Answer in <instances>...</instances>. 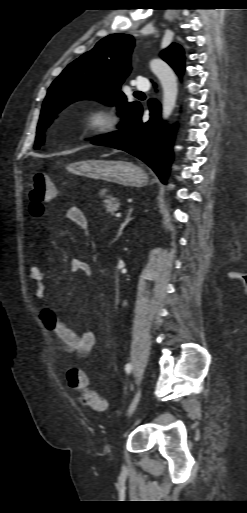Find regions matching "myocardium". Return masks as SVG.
I'll list each match as a JSON object with an SVG mask.
<instances>
[{
	"mask_svg": "<svg viewBox=\"0 0 247 513\" xmlns=\"http://www.w3.org/2000/svg\"><path fill=\"white\" fill-rule=\"evenodd\" d=\"M78 123L84 131L103 134L115 128L116 119L109 110L92 107L81 112Z\"/></svg>",
	"mask_w": 247,
	"mask_h": 513,
	"instance_id": "f54148a6",
	"label": "myocardium"
}]
</instances>
